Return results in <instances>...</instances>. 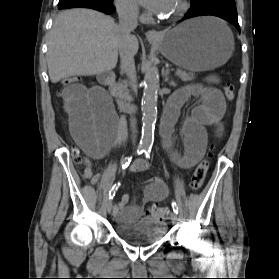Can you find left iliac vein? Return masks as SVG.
<instances>
[{
    "mask_svg": "<svg viewBox=\"0 0 279 279\" xmlns=\"http://www.w3.org/2000/svg\"><path fill=\"white\" fill-rule=\"evenodd\" d=\"M177 220H178L177 214L175 212H172V214H171V221H172V223L175 224L177 222Z\"/></svg>",
    "mask_w": 279,
    "mask_h": 279,
    "instance_id": "1",
    "label": "left iliac vein"
}]
</instances>
